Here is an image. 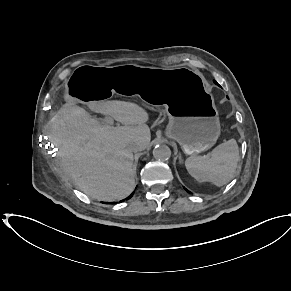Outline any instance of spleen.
<instances>
[{
	"label": "spleen",
	"mask_w": 291,
	"mask_h": 291,
	"mask_svg": "<svg viewBox=\"0 0 291 291\" xmlns=\"http://www.w3.org/2000/svg\"><path fill=\"white\" fill-rule=\"evenodd\" d=\"M239 161V147L230 139L215 147L208 156H190L185 160L188 173L198 182L227 184L234 176Z\"/></svg>",
	"instance_id": "spleen-1"
}]
</instances>
